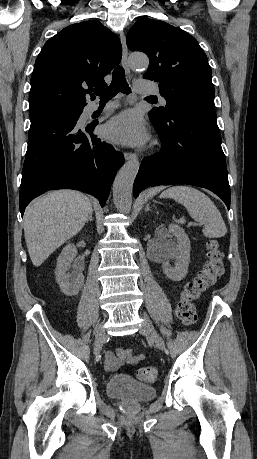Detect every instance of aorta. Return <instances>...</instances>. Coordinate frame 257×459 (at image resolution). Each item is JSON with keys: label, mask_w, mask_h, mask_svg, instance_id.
Returning a JSON list of instances; mask_svg holds the SVG:
<instances>
[{"label": "aorta", "mask_w": 257, "mask_h": 459, "mask_svg": "<svg viewBox=\"0 0 257 459\" xmlns=\"http://www.w3.org/2000/svg\"><path fill=\"white\" fill-rule=\"evenodd\" d=\"M130 64L133 69H146L149 60L145 55L132 54ZM140 163L137 158L127 161L119 170L113 183L114 204L122 213H129L132 205V189Z\"/></svg>", "instance_id": "aorta-1"}]
</instances>
